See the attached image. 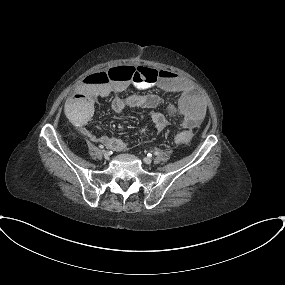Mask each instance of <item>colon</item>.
Segmentation results:
<instances>
[{
  "mask_svg": "<svg viewBox=\"0 0 285 285\" xmlns=\"http://www.w3.org/2000/svg\"><path fill=\"white\" fill-rule=\"evenodd\" d=\"M158 76L159 72L155 69L134 66H122L110 69L107 75H100L97 72L87 74L84 76V79H86V81L88 82H94L97 84L107 83L109 77L114 79H120L129 83H138L141 81H156L158 79ZM189 140L190 136L187 133H180L178 135L179 143H187L189 142Z\"/></svg>",
  "mask_w": 285,
  "mask_h": 285,
  "instance_id": "obj_1",
  "label": "colon"
}]
</instances>
